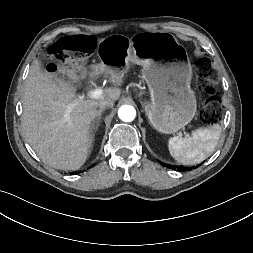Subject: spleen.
I'll list each match as a JSON object with an SVG mask.
<instances>
[{"label": "spleen", "instance_id": "spleen-1", "mask_svg": "<svg viewBox=\"0 0 253 253\" xmlns=\"http://www.w3.org/2000/svg\"><path fill=\"white\" fill-rule=\"evenodd\" d=\"M221 135V126L214 124L208 128H199L189 138L178 136L169 139L171 156L183 165H195L203 162L214 151Z\"/></svg>", "mask_w": 253, "mask_h": 253}]
</instances>
